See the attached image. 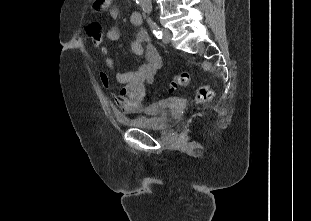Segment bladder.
<instances>
[{
	"mask_svg": "<svg viewBox=\"0 0 311 221\" xmlns=\"http://www.w3.org/2000/svg\"><path fill=\"white\" fill-rule=\"evenodd\" d=\"M168 106V99L157 100L150 104V108H144L143 114L128 119L126 125L133 129L166 131L172 120Z\"/></svg>",
	"mask_w": 311,
	"mask_h": 221,
	"instance_id": "obj_1",
	"label": "bladder"
}]
</instances>
